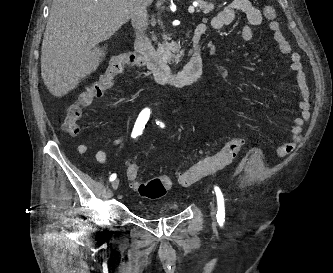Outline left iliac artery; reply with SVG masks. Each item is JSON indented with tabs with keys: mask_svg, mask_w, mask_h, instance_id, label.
Returning a JSON list of instances; mask_svg holds the SVG:
<instances>
[{
	"mask_svg": "<svg viewBox=\"0 0 333 273\" xmlns=\"http://www.w3.org/2000/svg\"><path fill=\"white\" fill-rule=\"evenodd\" d=\"M157 125H160L161 127H164V124L160 121L156 122ZM216 197H217V205H218V210H217V222L220 225H223L225 221V205H224V197L223 194L218 186L214 187Z\"/></svg>",
	"mask_w": 333,
	"mask_h": 273,
	"instance_id": "1",
	"label": "left iliac artery"
}]
</instances>
